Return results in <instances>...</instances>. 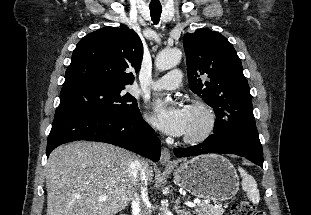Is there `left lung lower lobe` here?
Segmentation results:
<instances>
[{"label":"left lung lower lobe","mask_w":311,"mask_h":215,"mask_svg":"<svg viewBox=\"0 0 311 215\" xmlns=\"http://www.w3.org/2000/svg\"><path fill=\"white\" fill-rule=\"evenodd\" d=\"M207 153L236 154L261 167L263 165L262 145L255 125H236L222 133L210 135L201 144L189 148L174 149V154L177 157L197 156Z\"/></svg>","instance_id":"left-lung-lower-lobe-1"}]
</instances>
